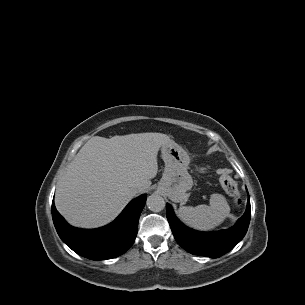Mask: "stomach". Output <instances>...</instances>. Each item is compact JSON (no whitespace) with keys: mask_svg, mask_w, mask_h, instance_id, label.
Wrapping results in <instances>:
<instances>
[{"mask_svg":"<svg viewBox=\"0 0 305 305\" xmlns=\"http://www.w3.org/2000/svg\"><path fill=\"white\" fill-rule=\"evenodd\" d=\"M161 155L165 163V170L158 183V191L174 202H186L188 198L186 192L193 185L192 177L187 171L190 161L188 153L171 141L161 146Z\"/></svg>","mask_w":305,"mask_h":305,"instance_id":"obj_1","label":"stomach"}]
</instances>
